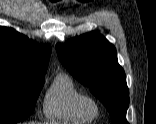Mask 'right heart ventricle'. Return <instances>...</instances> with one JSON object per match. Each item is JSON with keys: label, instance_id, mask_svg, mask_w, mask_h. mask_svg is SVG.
I'll return each mask as SVG.
<instances>
[{"label": "right heart ventricle", "instance_id": "right-heart-ventricle-1", "mask_svg": "<svg viewBox=\"0 0 156 124\" xmlns=\"http://www.w3.org/2000/svg\"><path fill=\"white\" fill-rule=\"evenodd\" d=\"M83 92L73 78L58 73L47 89L44 99V114L47 119L68 124H85L97 116L85 115L79 106Z\"/></svg>", "mask_w": 156, "mask_h": 124}]
</instances>
